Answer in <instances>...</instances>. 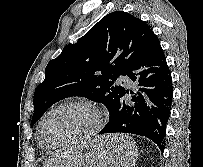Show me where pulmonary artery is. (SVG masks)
<instances>
[{"label":"pulmonary artery","mask_w":203,"mask_h":167,"mask_svg":"<svg viewBox=\"0 0 203 167\" xmlns=\"http://www.w3.org/2000/svg\"><path fill=\"white\" fill-rule=\"evenodd\" d=\"M118 81L124 82V83L127 84V85H131V84H132L131 79H130L129 77L123 76V75H121V76L118 78Z\"/></svg>","instance_id":"e3ab8cb5"}]
</instances>
